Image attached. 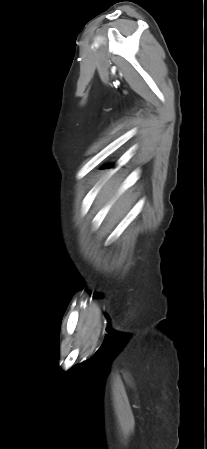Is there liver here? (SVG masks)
<instances>
[{"instance_id": "1", "label": "liver", "mask_w": 207, "mask_h": 449, "mask_svg": "<svg viewBox=\"0 0 207 449\" xmlns=\"http://www.w3.org/2000/svg\"><path fill=\"white\" fill-rule=\"evenodd\" d=\"M120 183L117 179H110L102 188L99 199L101 203L107 202L111 199L118 190ZM130 195L126 194L125 196H121L118 201L114 204L112 209V215H121L124 211H126L130 205Z\"/></svg>"}]
</instances>
